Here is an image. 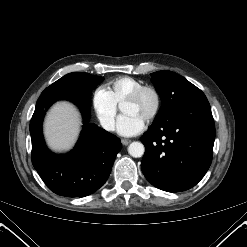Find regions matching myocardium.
Instances as JSON below:
<instances>
[{"mask_svg": "<svg viewBox=\"0 0 247 247\" xmlns=\"http://www.w3.org/2000/svg\"><path fill=\"white\" fill-rule=\"evenodd\" d=\"M145 93H151L154 97V107L146 118L147 122H151L158 116L162 104L161 94L154 86L143 85L137 88L124 100L123 104L135 102L139 100Z\"/></svg>", "mask_w": 247, "mask_h": 247, "instance_id": "myocardium-1", "label": "myocardium"}]
</instances>
